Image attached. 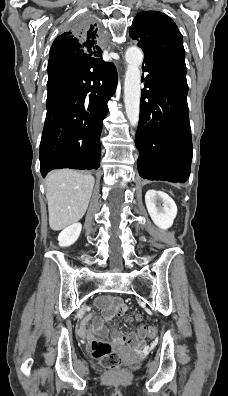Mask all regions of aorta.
<instances>
[{
  "mask_svg": "<svg viewBox=\"0 0 228 396\" xmlns=\"http://www.w3.org/2000/svg\"><path fill=\"white\" fill-rule=\"evenodd\" d=\"M143 52L138 47H129L125 53L127 70L124 82V104L126 116L131 126L136 127L140 114L141 73Z\"/></svg>",
  "mask_w": 228,
  "mask_h": 396,
  "instance_id": "aorta-1",
  "label": "aorta"
}]
</instances>
